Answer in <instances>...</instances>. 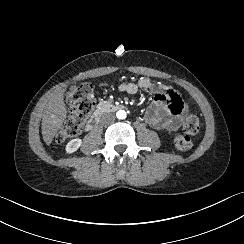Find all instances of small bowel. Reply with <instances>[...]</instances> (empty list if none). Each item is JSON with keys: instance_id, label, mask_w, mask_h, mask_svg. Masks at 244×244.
Segmentation results:
<instances>
[{"instance_id": "obj_1", "label": "small bowel", "mask_w": 244, "mask_h": 244, "mask_svg": "<svg viewBox=\"0 0 244 244\" xmlns=\"http://www.w3.org/2000/svg\"><path fill=\"white\" fill-rule=\"evenodd\" d=\"M119 90L128 94H136L140 90L153 92L151 102L143 115V121L158 130L177 128L184 106L180 95L174 89L141 78L136 83L121 84Z\"/></svg>"}]
</instances>
